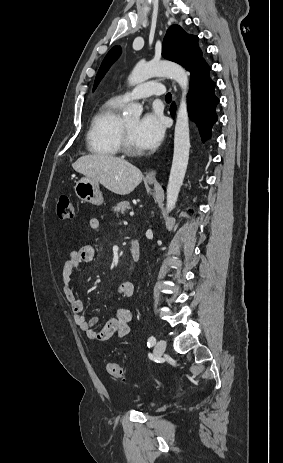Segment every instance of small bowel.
<instances>
[{
    "label": "small bowel",
    "mask_w": 283,
    "mask_h": 463,
    "mask_svg": "<svg viewBox=\"0 0 283 463\" xmlns=\"http://www.w3.org/2000/svg\"><path fill=\"white\" fill-rule=\"evenodd\" d=\"M89 227L97 231L100 228L98 218L92 217L89 219ZM95 248L93 245H84L70 252L68 259L62 269L63 291L67 302L69 303L73 319L78 327L83 330L88 339L93 342L106 341L110 338L125 337L130 331V322L132 312L127 307H119L116 310V315L107 320L100 331L95 330V325L98 322L96 316L87 318L84 314V303L80 300L73 289L72 274L82 264L89 263L94 259ZM117 294L123 298H130L134 295V284L131 282H123L119 285Z\"/></svg>",
    "instance_id": "1"
}]
</instances>
